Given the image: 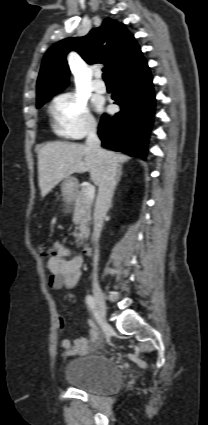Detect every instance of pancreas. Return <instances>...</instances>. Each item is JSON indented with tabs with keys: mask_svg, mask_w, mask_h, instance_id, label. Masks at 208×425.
Masks as SVG:
<instances>
[{
	"mask_svg": "<svg viewBox=\"0 0 208 425\" xmlns=\"http://www.w3.org/2000/svg\"><path fill=\"white\" fill-rule=\"evenodd\" d=\"M87 187H83L78 193L74 204L73 222L76 225L73 236L76 238V246L83 245L89 236V224L91 221V210L94 198H88L85 194Z\"/></svg>",
	"mask_w": 208,
	"mask_h": 425,
	"instance_id": "1",
	"label": "pancreas"
}]
</instances>
